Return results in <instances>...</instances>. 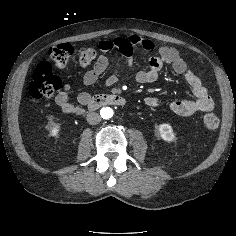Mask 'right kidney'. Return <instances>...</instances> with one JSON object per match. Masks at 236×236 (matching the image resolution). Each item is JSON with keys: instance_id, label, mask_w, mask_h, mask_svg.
<instances>
[{"instance_id": "right-kidney-1", "label": "right kidney", "mask_w": 236, "mask_h": 236, "mask_svg": "<svg viewBox=\"0 0 236 236\" xmlns=\"http://www.w3.org/2000/svg\"><path fill=\"white\" fill-rule=\"evenodd\" d=\"M60 125L59 123H53L52 127L50 128V136L56 137L59 134Z\"/></svg>"}]
</instances>
